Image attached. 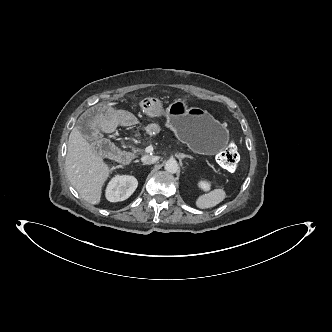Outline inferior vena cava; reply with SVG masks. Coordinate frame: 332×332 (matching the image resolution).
I'll list each match as a JSON object with an SVG mask.
<instances>
[{
    "label": "inferior vena cava",
    "instance_id": "1",
    "mask_svg": "<svg viewBox=\"0 0 332 332\" xmlns=\"http://www.w3.org/2000/svg\"><path fill=\"white\" fill-rule=\"evenodd\" d=\"M158 160H159V157H158V156L145 155V156L142 157V162H143L144 164H148V165L154 164V163H156Z\"/></svg>",
    "mask_w": 332,
    "mask_h": 332
}]
</instances>
